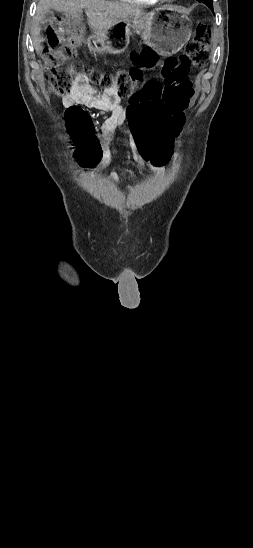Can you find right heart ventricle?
Here are the masks:
<instances>
[{
	"mask_svg": "<svg viewBox=\"0 0 253 548\" xmlns=\"http://www.w3.org/2000/svg\"><path fill=\"white\" fill-rule=\"evenodd\" d=\"M120 1L130 3V4L145 5V6L154 5L158 2V0H120Z\"/></svg>",
	"mask_w": 253,
	"mask_h": 548,
	"instance_id": "obj_1",
	"label": "right heart ventricle"
}]
</instances>
